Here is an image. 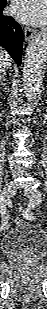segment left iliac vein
Listing matches in <instances>:
<instances>
[{
	"mask_svg": "<svg viewBox=\"0 0 47 309\" xmlns=\"http://www.w3.org/2000/svg\"><path fill=\"white\" fill-rule=\"evenodd\" d=\"M24 193L30 201L29 203L30 209L35 208L42 202V195L38 190L26 187L24 188Z\"/></svg>",
	"mask_w": 47,
	"mask_h": 309,
	"instance_id": "4c4485c4",
	"label": "left iliac vein"
}]
</instances>
